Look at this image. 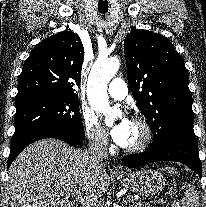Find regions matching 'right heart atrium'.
<instances>
[{"instance_id": "1", "label": "right heart atrium", "mask_w": 206, "mask_h": 207, "mask_svg": "<svg viewBox=\"0 0 206 207\" xmlns=\"http://www.w3.org/2000/svg\"><path fill=\"white\" fill-rule=\"evenodd\" d=\"M80 119L85 135L90 143L100 149L106 148L108 146V136L95 114L88 109H82Z\"/></svg>"}]
</instances>
